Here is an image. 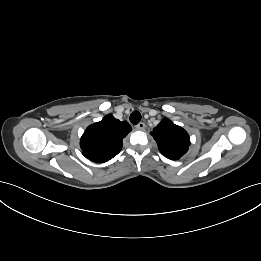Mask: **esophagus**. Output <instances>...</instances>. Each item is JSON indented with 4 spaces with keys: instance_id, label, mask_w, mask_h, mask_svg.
<instances>
[{
    "instance_id": "1",
    "label": "esophagus",
    "mask_w": 261,
    "mask_h": 261,
    "mask_svg": "<svg viewBox=\"0 0 261 261\" xmlns=\"http://www.w3.org/2000/svg\"><path fill=\"white\" fill-rule=\"evenodd\" d=\"M137 130H144L145 129V124L143 122H140L136 125Z\"/></svg>"
}]
</instances>
